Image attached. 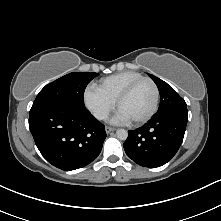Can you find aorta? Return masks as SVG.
<instances>
[{"mask_svg": "<svg viewBox=\"0 0 221 221\" xmlns=\"http://www.w3.org/2000/svg\"><path fill=\"white\" fill-rule=\"evenodd\" d=\"M116 136L119 140H126L128 137V132L125 129H118L116 131Z\"/></svg>", "mask_w": 221, "mask_h": 221, "instance_id": "obj_1", "label": "aorta"}]
</instances>
